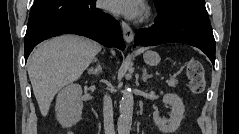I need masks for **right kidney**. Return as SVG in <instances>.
I'll use <instances>...</instances> for the list:
<instances>
[{
  "instance_id": "right-kidney-1",
  "label": "right kidney",
  "mask_w": 239,
  "mask_h": 134,
  "mask_svg": "<svg viewBox=\"0 0 239 134\" xmlns=\"http://www.w3.org/2000/svg\"><path fill=\"white\" fill-rule=\"evenodd\" d=\"M82 88L78 84H70L59 92L56 99V118L63 127L75 125L82 115Z\"/></svg>"
}]
</instances>
